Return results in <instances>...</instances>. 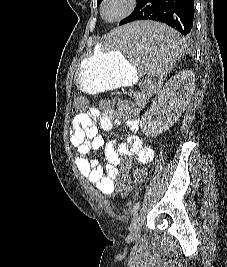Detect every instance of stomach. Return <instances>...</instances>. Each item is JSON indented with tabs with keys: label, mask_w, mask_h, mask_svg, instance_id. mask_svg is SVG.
Listing matches in <instances>:
<instances>
[{
	"label": "stomach",
	"mask_w": 227,
	"mask_h": 267,
	"mask_svg": "<svg viewBox=\"0 0 227 267\" xmlns=\"http://www.w3.org/2000/svg\"><path fill=\"white\" fill-rule=\"evenodd\" d=\"M140 59H129L101 47L94 55L84 58L78 66L75 83L85 93H97L129 85L139 74Z\"/></svg>",
	"instance_id": "stomach-1"
}]
</instances>
